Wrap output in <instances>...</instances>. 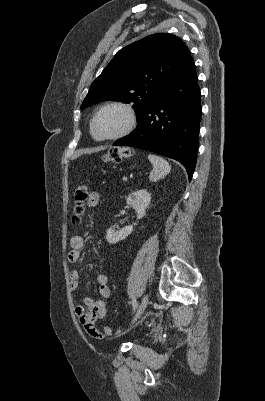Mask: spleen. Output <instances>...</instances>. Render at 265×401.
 Wrapping results in <instances>:
<instances>
[{"label":"spleen","instance_id":"obj_1","mask_svg":"<svg viewBox=\"0 0 265 401\" xmlns=\"http://www.w3.org/2000/svg\"><path fill=\"white\" fill-rule=\"evenodd\" d=\"M148 158L150 162L153 164V170H151L149 174V180L151 182H156V180H160V178H164L168 172L171 170V166L165 158L162 156H156V154H148Z\"/></svg>","mask_w":265,"mask_h":401}]
</instances>
